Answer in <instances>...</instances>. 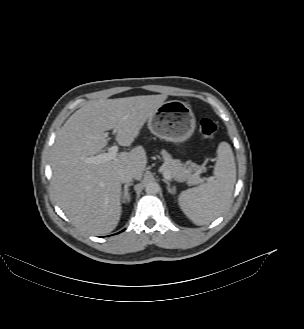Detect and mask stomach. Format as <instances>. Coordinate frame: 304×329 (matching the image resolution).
Listing matches in <instances>:
<instances>
[{
    "label": "stomach",
    "instance_id": "0dacf381",
    "mask_svg": "<svg viewBox=\"0 0 304 329\" xmlns=\"http://www.w3.org/2000/svg\"><path fill=\"white\" fill-rule=\"evenodd\" d=\"M195 123L194 113L188 104L171 100L164 102L148 119V128L155 136L179 144L192 136Z\"/></svg>",
    "mask_w": 304,
    "mask_h": 329
}]
</instances>
